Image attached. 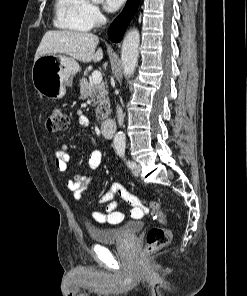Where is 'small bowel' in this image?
<instances>
[{"instance_id": "1", "label": "small bowel", "mask_w": 247, "mask_h": 296, "mask_svg": "<svg viewBox=\"0 0 247 296\" xmlns=\"http://www.w3.org/2000/svg\"><path fill=\"white\" fill-rule=\"evenodd\" d=\"M77 123L83 128L90 126V121L88 117L78 112L76 114ZM68 147L62 145L55 152V166L60 172H64L67 168V163L69 161ZM102 162V153L98 149H94L88 159V167L91 171H96ZM95 179L94 174L78 173L72 179H67L66 185L68 189L73 193L75 200H80L82 196L86 193L88 186ZM115 195H119L123 200L134 206L132 210V215L135 211L140 212V206L134 203L138 198L131 194L123 185L120 183H112L109 189L102 194L99 198V205L102 211H93V219L101 224H120L124 218L125 214L118 210V203L113 201ZM134 216V215H133Z\"/></svg>"}]
</instances>
